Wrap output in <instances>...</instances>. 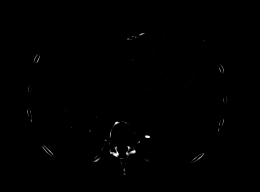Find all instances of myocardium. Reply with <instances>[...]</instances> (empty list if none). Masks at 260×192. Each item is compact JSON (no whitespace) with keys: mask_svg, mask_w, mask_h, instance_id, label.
I'll list each match as a JSON object with an SVG mask.
<instances>
[{"mask_svg":"<svg viewBox=\"0 0 260 192\" xmlns=\"http://www.w3.org/2000/svg\"><path fill=\"white\" fill-rule=\"evenodd\" d=\"M176 66V64L170 65L166 68H164L163 70L154 73L153 75H151L148 79L149 83L154 82L155 80L162 78L164 76H166L167 74H169L171 72V70ZM204 80V69L202 68V66L200 65V75L198 78V81L195 85V88L193 89V91L190 93V96L193 95L195 92H197L199 90V88L201 87L202 83Z\"/></svg>","mask_w":260,"mask_h":192,"instance_id":"obj_1","label":"myocardium"}]
</instances>
